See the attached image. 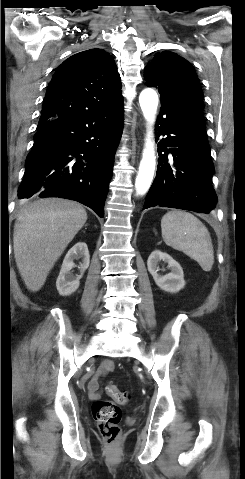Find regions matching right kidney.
I'll return each instance as SVG.
<instances>
[{
  "label": "right kidney",
  "mask_w": 245,
  "mask_h": 479,
  "mask_svg": "<svg viewBox=\"0 0 245 479\" xmlns=\"http://www.w3.org/2000/svg\"><path fill=\"white\" fill-rule=\"evenodd\" d=\"M78 258L82 259V262L78 266L80 275H75L72 272V269L76 267L73 261ZM89 263L90 255L86 243L78 242L67 252L56 281V287L61 296H69L78 289L80 279L89 267Z\"/></svg>",
  "instance_id": "right-kidney-1"
}]
</instances>
